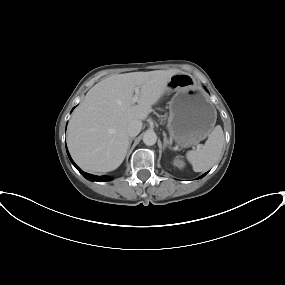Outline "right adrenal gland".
Instances as JSON below:
<instances>
[{"mask_svg": "<svg viewBox=\"0 0 285 285\" xmlns=\"http://www.w3.org/2000/svg\"><path fill=\"white\" fill-rule=\"evenodd\" d=\"M134 140V137L133 138H130V140H129V146H128V150L130 149V146H131V144H132V141Z\"/></svg>", "mask_w": 285, "mask_h": 285, "instance_id": "obj_1", "label": "right adrenal gland"}]
</instances>
